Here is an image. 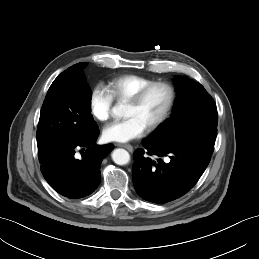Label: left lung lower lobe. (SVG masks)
<instances>
[{
	"mask_svg": "<svg viewBox=\"0 0 259 259\" xmlns=\"http://www.w3.org/2000/svg\"><path fill=\"white\" fill-rule=\"evenodd\" d=\"M216 138L189 137L177 144L161 145L142 141L145 150L134 153L133 184L146 201L163 204L180 198L197 183L207 168ZM164 157H169L167 162Z\"/></svg>",
	"mask_w": 259,
	"mask_h": 259,
	"instance_id": "1",
	"label": "left lung lower lobe"
}]
</instances>
